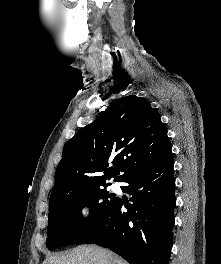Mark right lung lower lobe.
I'll return each instance as SVG.
<instances>
[{
  "label": "right lung lower lobe",
  "mask_w": 221,
  "mask_h": 264,
  "mask_svg": "<svg viewBox=\"0 0 221 264\" xmlns=\"http://www.w3.org/2000/svg\"><path fill=\"white\" fill-rule=\"evenodd\" d=\"M172 153L158 163L130 174L122 182L131 203L118 198L83 244L111 249L129 264H168L173 245L175 179ZM123 208L127 212H123Z\"/></svg>",
  "instance_id": "right-lung-lower-lobe-1"
}]
</instances>
